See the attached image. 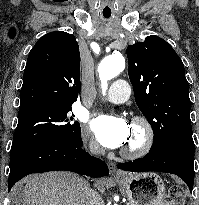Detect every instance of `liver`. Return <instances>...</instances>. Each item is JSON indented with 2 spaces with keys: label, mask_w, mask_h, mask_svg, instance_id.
Returning a JSON list of instances; mask_svg holds the SVG:
<instances>
[{
  "label": "liver",
  "mask_w": 199,
  "mask_h": 205,
  "mask_svg": "<svg viewBox=\"0 0 199 205\" xmlns=\"http://www.w3.org/2000/svg\"><path fill=\"white\" fill-rule=\"evenodd\" d=\"M25 188L16 198L20 205H88L85 194L87 182L70 172H48L25 178ZM105 192L104 184L97 183Z\"/></svg>",
  "instance_id": "liver-1"
}]
</instances>
